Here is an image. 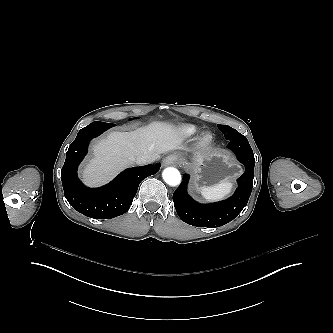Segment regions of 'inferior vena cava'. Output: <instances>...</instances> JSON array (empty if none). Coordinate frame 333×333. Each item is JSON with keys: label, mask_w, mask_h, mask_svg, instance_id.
Here are the masks:
<instances>
[{"label": "inferior vena cava", "mask_w": 333, "mask_h": 333, "mask_svg": "<svg viewBox=\"0 0 333 333\" xmlns=\"http://www.w3.org/2000/svg\"><path fill=\"white\" fill-rule=\"evenodd\" d=\"M154 160L149 155H141L136 158L137 165H146L152 163Z\"/></svg>", "instance_id": "602c4592"}]
</instances>
